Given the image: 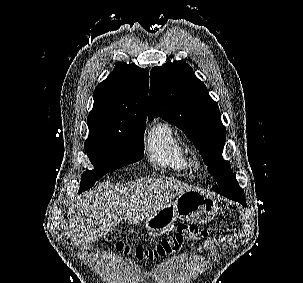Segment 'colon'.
Segmentation results:
<instances>
[{"label":"colon","mask_w":303,"mask_h":283,"mask_svg":"<svg viewBox=\"0 0 303 283\" xmlns=\"http://www.w3.org/2000/svg\"><path fill=\"white\" fill-rule=\"evenodd\" d=\"M205 232L192 225H184L168 238L161 240L150 247H136L134 254L138 259H155L165 255L177 252L186 244H198ZM115 249L119 252L128 253L130 248L124 244L118 243Z\"/></svg>","instance_id":"5ec220e1"}]
</instances>
